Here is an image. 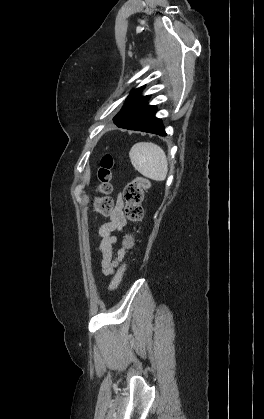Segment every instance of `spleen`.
<instances>
[{
	"instance_id": "spleen-1",
	"label": "spleen",
	"mask_w": 264,
	"mask_h": 419,
	"mask_svg": "<svg viewBox=\"0 0 264 419\" xmlns=\"http://www.w3.org/2000/svg\"><path fill=\"white\" fill-rule=\"evenodd\" d=\"M135 170L143 176L156 181L166 179L168 163L165 152L152 142H138L129 152Z\"/></svg>"
}]
</instances>
